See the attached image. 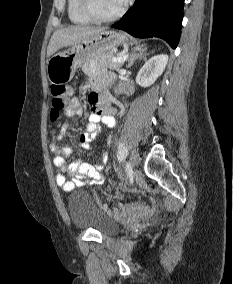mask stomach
Segmentation results:
<instances>
[{
    "label": "stomach",
    "instance_id": "0dacf381",
    "mask_svg": "<svg viewBox=\"0 0 233 284\" xmlns=\"http://www.w3.org/2000/svg\"><path fill=\"white\" fill-rule=\"evenodd\" d=\"M128 41L126 34L104 30L90 40L56 53L47 61V76L51 84H66L78 67Z\"/></svg>",
    "mask_w": 233,
    "mask_h": 284
}]
</instances>
